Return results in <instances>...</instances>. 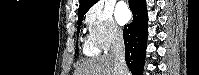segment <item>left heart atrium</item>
Masks as SVG:
<instances>
[{
	"mask_svg": "<svg viewBox=\"0 0 199 75\" xmlns=\"http://www.w3.org/2000/svg\"><path fill=\"white\" fill-rule=\"evenodd\" d=\"M117 21L120 24H125L130 17L129 10L124 3H119L115 10Z\"/></svg>",
	"mask_w": 199,
	"mask_h": 75,
	"instance_id": "obj_1",
	"label": "left heart atrium"
}]
</instances>
